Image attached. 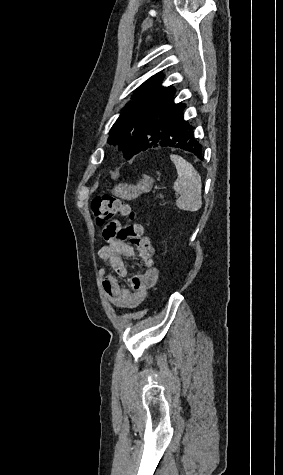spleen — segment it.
I'll list each match as a JSON object with an SVG mask.
<instances>
[{"label":"spleen","mask_w":283,"mask_h":475,"mask_svg":"<svg viewBox=\"0 0 283 475\" xmlns=\"http://www.w3.org/2000/svg\"><path fill=\"white\" fill-rule=\"evenodd\" d=\"M170 160L175 164L178 174V178L173 186V190L180 194V198L176 200L177 208L179 210H188V212H197L202 206L201 176H199L192 164L183 160L181 156L171 154Z\"/></svg>","instance_id":"1"}]
</instances>
